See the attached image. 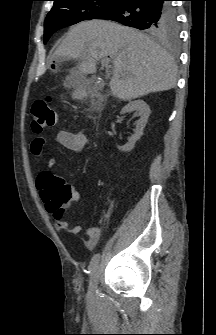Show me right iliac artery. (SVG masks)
<instances>
[{
	"instance_id": "1",
	"label": "right iliac artery",
	"mask_w": 216,
	"mask_h": 335,
	"mask_svg": "<svg viewBox=\"0 0 216 335\" xmlns=\"http://www.w3.org/2000/svg\"><path fill=\"white\" fill-rule=\"evenodd\" d=\"M99 259H100V254L99 253L95 254L92 257V259L90 261V264H89V267H88L90 276H92L93 271H94V269L96 268V266L99 262ZM90 284H91V282H90Z\"/></svg>"
}]
</instances>
